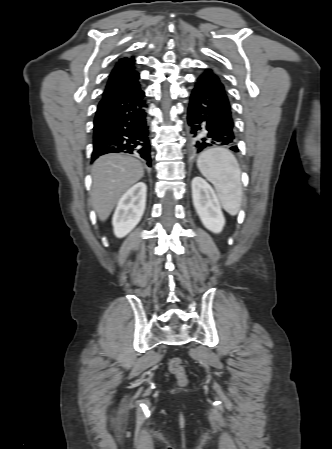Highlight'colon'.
<instances>
[{"label":"colon","instance_id":"5ec220e1","mask_svg":"<svg viewBox=\"0 0 332 449\" xmlns=\"http://www.w3.org/2000/svg\"><path fill=\"white\" fill-rule=\"evenodd\" d=\"M169 370L180 380H185L186 374L183 366V362L180 358H172L169 362Z\"/></svg>","mask_w":332,"mask_h":449}]
</instances>
